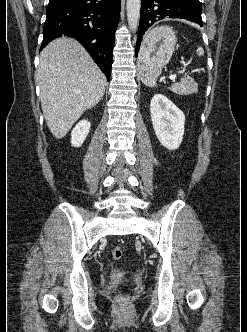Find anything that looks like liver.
<instances>
[{
  "label": "liver",
  "instance_id": "liver-1",
  "mask_svg": "<svg viewBox=\"0 0 247 332\" xmlns=\"http://www.w3.org/2000/svg\"><path fill=\"white\" fill-rule=\"evenodd\" d=\"M36 78L45 121L57 139L99 103L107 83L80 43L68 37L55 39L42 50Z\"/></svg>",
  "mask_w": 247,
  "mask_h": 332
}]
</instances>
